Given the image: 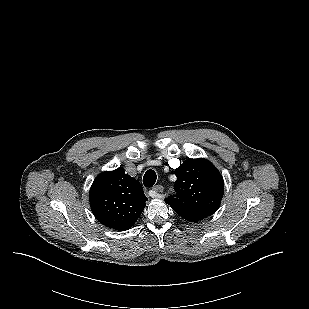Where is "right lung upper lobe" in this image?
I'll list each match as a JSON object with an SVG mask.
<instances>
[{"label":"right lung upper lobe","mask_w":309,"mask_h":309,"mask_svg":"<svg viewBox=\"0 0 309 309\" xmlns=\"http://www.w3.org/2000/svg\"><path fill=\"white\" fill-rule=\"evenodd\" d=\"M147 197L141 184L123 168L102 172L93 182L89 201L93 214L103 225L125 231L140 217Z\"/></svg>","instance_id":"1"}]
</instances>
